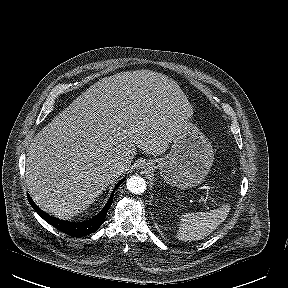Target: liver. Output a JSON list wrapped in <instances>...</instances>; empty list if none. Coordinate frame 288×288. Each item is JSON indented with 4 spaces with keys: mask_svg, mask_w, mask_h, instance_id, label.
<instances>
[{
    "mask_svg": "<svg viewBox=\"0 0 288 288\" xmlns=\"http://www.w3.org/2000/svg\"><path fill=\"white\" fill-rule=\"evenodd\" d=\"M193 114L179 85L158 72H120L91 85L33 138L26 184L35 203L70 219L130 168L137 148L159 156ZM124 171L109 177L111 164Z\"/></svg>",
    "mask_w": 288,
    "mask_h": 288,
    "instance_id": "1",
    "label": "liver"
}]
</instances>
